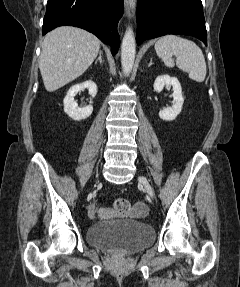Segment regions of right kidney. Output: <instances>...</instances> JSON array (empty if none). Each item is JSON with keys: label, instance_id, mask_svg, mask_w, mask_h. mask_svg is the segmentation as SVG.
I'll use <instances>...</instances> for the list:
<instances>
[{"label": "right kidney", "instance_id": "ca27d5eb", "mask_svg": "<svg viewBox=\"0 0 240 287\" xmlns=\"http://www.w3.org/2000/svg\"><path fill=\"white\" fill-rule=\"evenodd\" d=\"M84 89H88L89 94L94 98L97 94V85L91 81H85L80 84L72 86L66 97L64 98V112L73 120L80 121L88 118L93 112V106L88 105L86 107H79L77 102L74 100L76 94Z\"/></svg>", "mask_w": 240, "mask_h": 287}]
</instances>
